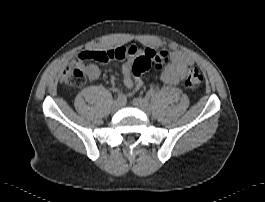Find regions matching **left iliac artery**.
<instances>
[{
  "mask_svg": "<svg viewBox=\"0 0 265 202\" xmlns=\"http://www.w3.org/2000/svg\"><path fill=\"white\" fill-rule=\"evenodd\" d=\"M146 95H147L148 97H154V95H155V91H154V90H149V91L146 93Z\"/></svg>",
  "mask_w": 265,
  "mask_h": 202,
  "instance_id": "1",
  "label": "left iliac artery"
}]
</instances>
